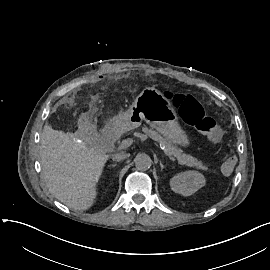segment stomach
Masks as SVG:
<instances>
[{"mask_svg":"<svg viewBox=\"0 0 270 270\" xmlns=\"http://www.w3.org/2000/svg\"><path fill=\"white\" fill-rule=\"evenodd\" d=\"M119 119L121 129L131 130L145 121L167 141L182 146L190 144L188 136L178 123V116L171 102L162 98L154 87L144 88Z\"/></svg>","mask_w":270,"mask_h":270,"instance_id":"1","label":"stomach"}]
</instances>
